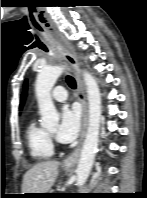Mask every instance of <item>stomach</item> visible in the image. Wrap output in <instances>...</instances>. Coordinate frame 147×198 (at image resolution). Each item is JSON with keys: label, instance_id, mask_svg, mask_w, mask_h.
Returning <instances> with one entry per match:
<instances>
[{"label": "stomach", "instance_id": "1", "mask_svg": "<svg viewBox=\"0 0 147 198\" xmlns=\"http://www.w3.org/2000/svg\"><path fill=\"white\" fill-rule=\"evenodd\" d=\"M71 168H68V167H64V170L65 171H69Z\"/></svg>", "mask_w": 147, "mask_h": 198}]
</instances>
